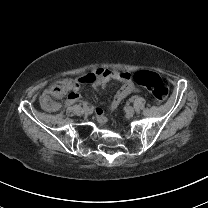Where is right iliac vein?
<instances>
[{
  "instance_id": "1",
  "label": "right iliac vein",
  "mask_w": 208,
  "mask_h": 208,
  "mask_svg": "<svg viewBox=\"0 0 208 208\" xmlns=\"http://www.w3.org/2000/svg\"><path fill=\"white\" fill-rule=\"evenodd\" d=\"M83 113L84 114H89L90 113V109L87 107V108H84L83 109Z\"/></svg>"
}]
</instances>
